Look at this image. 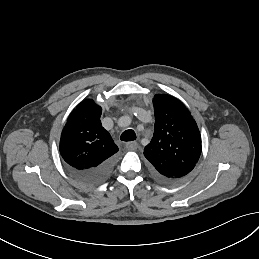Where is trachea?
Returning <instances> with one entry per match:
<instances>
[{
    "label": "trachea",
    "mask_w": 259,
    "mask_h": 259,
    "mask_svg": "<svg viewBox=\"0 0 259 259\" xmlns=\"http://www.w3.org/2000/svg\"><path fill=\"white\" fill-rule=\"evenodd\" d=\"M120 139L122 141H134L136 139V134L133 130H126L122 133Z\"/></svg>",
    "instance_id": "trachea-1"
}]
</instances>
